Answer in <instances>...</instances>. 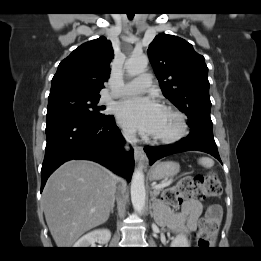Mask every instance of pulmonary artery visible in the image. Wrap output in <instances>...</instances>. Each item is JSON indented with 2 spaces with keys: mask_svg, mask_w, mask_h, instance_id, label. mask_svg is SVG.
Instances as JSON below:
<instances>
[{
  "mask_svg": "<svg viewBox=\"0 0 261 261\" xmlns=\"http://www.w3.org/2000/svg\"><path fill=\"white\" fill-rule=\"evenodd\" d=\"M151 86L152 76L150 74H140L126 83L120 90L110 91L107 98L133 96L148 91Z\"/></svg>",
  "mask_w": 261,
  "mask_h": 261,
  "instance_id": "pulmonary-artery-1",
  "label": "pulmonary artery"
}]
</instances>
